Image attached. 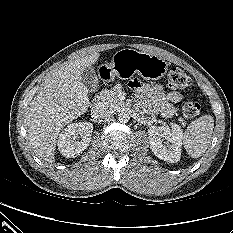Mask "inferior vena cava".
I'll list each match as a JSON object with an SVG mask.
<instances>
[{"mask_svg":"<svg viewBox=\"0 0 233 233\" xmlns=\"http://www.w3.org/2000/svg\"><path fill=\"white\" fill-rule=\"evenodd\" d=\"M112 114H113V109L105 102L95 105L91 110V116L96 120L107 119Z\"/></svg>","mask_w":233,"mask_h":233,"instance_id":"602c4592","label":"inferior vena cava"}]
</instances>
